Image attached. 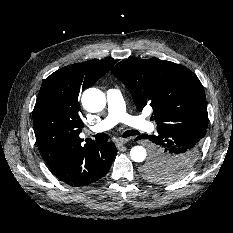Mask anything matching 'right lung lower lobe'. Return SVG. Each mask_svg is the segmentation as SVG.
Returning <instances> with one entry per match:
<instances>
[{"instance_id":"right-lung-lower-lobe-1","label":"right lung lower lobe","mask_w":233,"mask_h":233,"mask_svg":"<svg viewBox=\"0 0 233 233\" xmlns=\"http://www.w3.org/2000/svg\"><path fill=\"white\" fill-rule=\"evenodd\" d=\"M117 149L113 142L87 147L53 174L71 186H84L102 178L110 169Z\"/></svg>"}]
</instances>
